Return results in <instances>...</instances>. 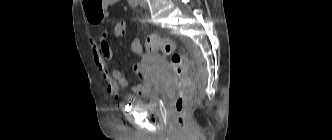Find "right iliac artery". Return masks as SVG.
Instances as JSON below:
<instances>
[{
	"label": "right iliac artery",
	"mask_w": 332,
	"mask_h": 140,
	"mask_svg": "<svg viewBox=\"0 0 332 140\" xmlns=\"http://www.w3.org/2000/svg\"><path fill=\"white\" fill-rule=\"evenodd\" d=\"M131 7H136L138 5V0H128Z\"/></svg>",
	"instance_id": "82829eb1"
}]
</instances>
